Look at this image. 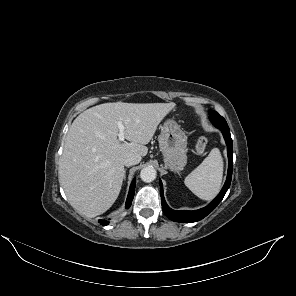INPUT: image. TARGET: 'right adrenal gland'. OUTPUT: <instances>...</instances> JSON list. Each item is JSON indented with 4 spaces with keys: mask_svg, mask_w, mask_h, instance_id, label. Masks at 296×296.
<instances>
[{
    "mask_svg": "<svg viewBox=\"0 0 296 296\" xmlns=\"http://www.w3.org/2000/svg\"><path fill=\"white\" fill-rule=\"evenodd\" d=\"M124 178H126V171H125V176H124Z\"/></svg>",
    "mask_w": 296,
    "mask_h": 296,
    "instance_id": "1",
    "label": "right adrenal gland"
}]
</instances>
